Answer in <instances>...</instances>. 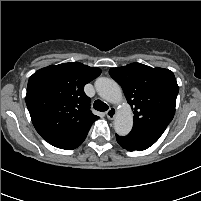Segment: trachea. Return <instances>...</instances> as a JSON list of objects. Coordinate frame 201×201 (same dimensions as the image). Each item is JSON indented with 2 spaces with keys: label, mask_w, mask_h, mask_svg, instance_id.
<instances>
[{
  "label": "trachea",
  "mask_w": 201,
  "mask_h": 201,
  "mask_svg": "<svg viewBox=\"0 0 201 201\" xmlns=\"http://www.w3.org/2000/svg\"><path fill=\"white\" fill-rule=\"evenodd\" d=\"M94 109L104 112L108 110V105L104 102H102L101 100H96L93 104Z\"/></svg>",
  "instance_id": "3493384b"
}]
</instances>
